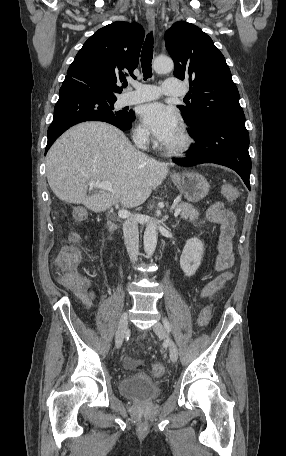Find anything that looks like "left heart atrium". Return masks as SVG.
<instances>
[{
	"mask_svg": "<svg viewBox=\"0 0 286 456\" xmlns=\"http://www.w3.org/2000/svg\"><path fill=\"white\" fill-rule=\"evenodd\" d=\"M140 116L155 138L165 145L179 133L180 123L176 111L160 102L144 105Z\"/></svg>",
	"mask_w": 286,
	"mask_h": 456,
	"instance_id": "1",
	"label": "left heart atrium"
}]
</instances>
